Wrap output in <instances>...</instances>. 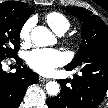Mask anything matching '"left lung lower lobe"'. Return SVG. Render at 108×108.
Returning <instances> with one entry per match:
<instances>
[{"instance_id":"left-lung-lower-lobe-1","label":"left lung lower lobe","mask_w":108,"mask_h":108,"mask_svg":"<svg viewBox=\"0 0 108 108\" xmlns=\"http://www.w3.org/2000/svg\"><path fill=\"white\" fill-rule=\"evenodd\" d=\"M81 76L59 80L61 92L47 99L48 108H97L108 91V64H84ZM72 70L75 67H65ZM77 92L70 98L71 92Z\"/></svg>"}]
</instances>
